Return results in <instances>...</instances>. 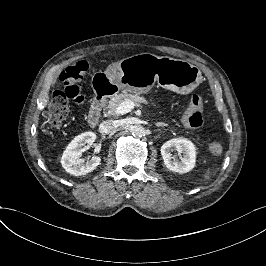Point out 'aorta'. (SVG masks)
Masks as SVG:
<instances>
[{"label":"aorta","instance_id":"aorta-1","mask_svg":"<svg viewBox=\"0 0 266 266\" xmlns=\"http://www.w3.org/2000/svg\"><path fill=\"white\" fill-rule=\"evenodd\" d=\"M130 132L133 136L138 138H142L147 134L146 129L142 125H133L130 129Z\"/></svg>","mask_w":266,"mask_h":266}]
</instances>
